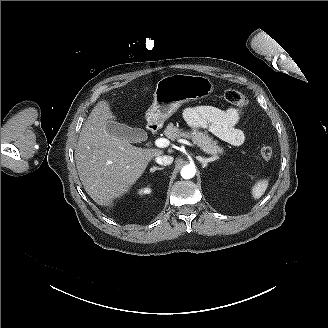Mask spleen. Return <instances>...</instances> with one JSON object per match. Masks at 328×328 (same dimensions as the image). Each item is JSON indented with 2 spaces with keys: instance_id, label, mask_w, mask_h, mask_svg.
I'll return each instance as SVG.
<instances>
[{
  "instance_id": "1",
  "label": "spleen",
  "mask_w": 328,
  "mask_h": 328,
  "mask_svg": "<svg viewBox=\"0 0 328 328\" xmlns=\"http://www.w3.org/2000/svg\"><path fill=\"white\" fill-rule=\"evenodd\" d=\"M268 187V180H260L258 181L252 188V196L255 199H259L266 191Z\"/></svg>"
}]
</instances>
